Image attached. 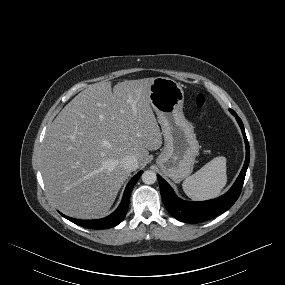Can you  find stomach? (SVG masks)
Returning <instances> with one entry per match:
<instances>
[{
    "label": "stomach",
    "mask_w": 285,
    "mask_h": 285,
    "mask_svg": "<svg viewBox=\"0 0 285 285\" xmlns=\"http://www.w3.org/2000/svg\"><path fill=\"white\" fill-rule=\"evenodd\" d=\"M149 99L165 141L156 163L165 175L180 182L192 173L200 149L194 127L183 114L182 85L167 77H156Z\"/></svg>",
    "instance_id": "1"
}]
</instances>
